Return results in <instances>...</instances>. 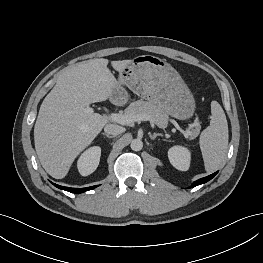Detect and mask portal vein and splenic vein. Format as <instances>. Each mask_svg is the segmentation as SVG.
<instances>
[{
	"mask_svg": "<svg viewBox=\"0 0 263 263\" xmlns=\"http://www.w3.org/2000/svg\"><path fill=\"white\" fill-rule=\"evenodd\" d=\"M86 112L91 113L93 112V108L87 107L85 109ZM110 119L116 123L122 124V125H131L135 121H150L151 123H155L154 119L150 115H126V114H119V113H111ZM183 135L185 137H189L192 135L191 131H182Z\"/></svg>",
	"mask_w": 263,
	"mask_h": 263,
	"instance_id": "18ae733b",
	"label": "portal vein and splenic vein"
}]
</instances>
